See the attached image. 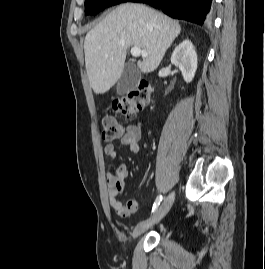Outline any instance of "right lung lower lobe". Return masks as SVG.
I'll use <instances>...</instances> for the list:
<instances>
[{"instance_id":"98d812e1","label":"right lung lower lobe","mask_w":265,"mask_h":269,"mask_svg":"<svg viewBox=\"0 0 265 269\" xmlns=\"http://www.w3.org/2000/svg\"><path fill=\"white\" fill-rule=\"evenodd\" d=\"M127 2L146 3L161 9L165 14L197 24H203L212 0H128Z\"/></svg>"}]
</instances>
